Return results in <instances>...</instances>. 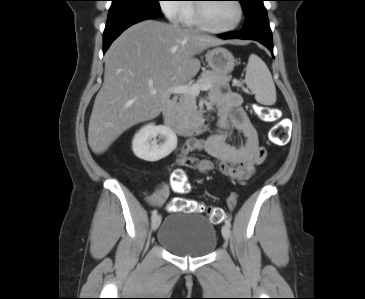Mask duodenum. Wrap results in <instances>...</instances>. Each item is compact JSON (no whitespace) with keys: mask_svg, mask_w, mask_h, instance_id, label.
I'll return each instance as SVG.
<instances>
[{"mask_svg":"<svg viewBox=\"0 0 365 299\" xmlns=\"http://www.w3.org/2000/svg\"><path fill=\"white\" fill-rule=\"evenodd\" d=\"M176 110V99H170L163 108L164 124L172 129L176 134L181 136H188L201 133L207 125L204 119L192 121L188 124H181L175 121L174 114Z\"/></svg>","mask_w":365,"mask_h":299,"instance_id":"duodenum-1","label":"duodenum"}]
</instances>
